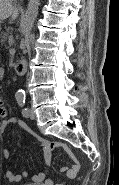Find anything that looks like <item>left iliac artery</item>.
<instances>
[{
	"label": "left iliac artery",
	"mask_w": 119,
	"mask_h": 185,
	"mask_svg": "<svg viewBox=\"0 0 119 185\" xmlns=\"http://www.w3.org/2000/svg\"><path fill=\"white\" fill-rule=\"evenodd\" d=\"M17 102H18L19 106L22 107V114H23V116L28 117V108L24 107V105H25V97L17 99Z\"/></svg>",
	"instance_id": "left-iliac-artery-1"
}]
</instances>
